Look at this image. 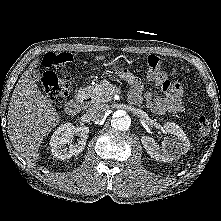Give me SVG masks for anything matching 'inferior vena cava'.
Returning <instances> with one entry per match:
<instances>
[{
	"label": "inferior vena cava",
	"mask_w": 221,
	"mask_h": 221,
	"mask_svg": "<svg viewBox=\"0 0 221 221\" xmlns=\"http://www.w3.org/2000/svg\"><path fill=\"white\" fill-rule=\"evenodd\" d=\"M107 110L108 105L106 104H93L88 108L86 114L92 121H100L105 116Z\"/></svg>",
	"instance_id": "inferior-vena-cava-1"
}]
</instances>
